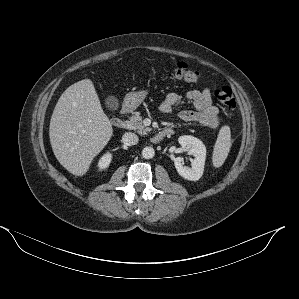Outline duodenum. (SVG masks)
<instances>
[{
	"instance_id": "1",
	"label": "duodenum",
	"mask_w": 299,
	"mask_h": 299,
	"mask_svg": "<svg viewBox=\"0 0 299 299\" xmlns=\"http://www.w3.org/2000/svg\"><path fill=\"white\" fill-rule=\"evenodd\" d=\"M128 112H129V109L125 108L123 110V115H126ZM112 124L116 128H123L125 126V122L122 118H113ZM173 134H174V130L172 128H164V129L159 130L157 133H155V135L152 137V140L154 142H160L164 138L169 137Z\"/></svg>"
}]
</instances>
